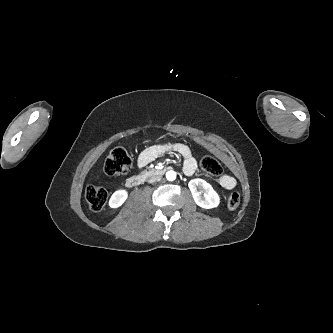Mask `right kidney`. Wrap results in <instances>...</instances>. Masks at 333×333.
Masks as SVG:
<instances>
[{"label":"right kidney","mask_w":333,"mask_h":333,"mask_svg":"<svg viewBox=\"0 0 333 333\" xmlns=\"http://www.w3.org/2000/svg\"><path fill=\"white\" fill-rule=\"evenodd\" d=\"M128 194L126 190H118L114 192L109 200V206L111 208H118L127 199Z\"/></svg>","instance_id":"obj_1"}]
</instances>
